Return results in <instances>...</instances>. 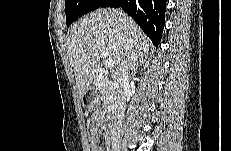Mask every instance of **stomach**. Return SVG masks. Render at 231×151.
<instances>
[{
  "instance_id": "stomach-1",
  "label": "stomach",
  "mask_w": 231,
  "mask_h": 151,
  "mask_svg": "<svg viewBox=\"0 0 231 151\" xmlns=\"http://www.w3.org/2000/svg\"><path fill=\"white\" fill-rule=\"evenodd\" d=\"M92 93H96V91L94 89H92Z\"/></svg>"
}]
</instances>
